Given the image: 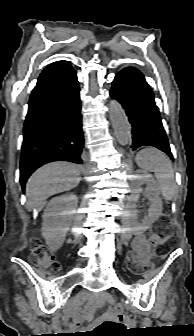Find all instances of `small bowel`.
<instances>
[{
    "instance_id": "small-bowel-1",
    "label": "small bowel",
    "mask_w": 194,
    "mask_h": 336,
    "mask_svg": "<svg viewBox=\"0 0 194 336\" xmlns=\"http://www.w3.org/2000/svg\"><path fill=\"white\" fill-rule=\"evenodd\" d=\"M135 246L140 252V261L142 263H146L147 259L149 258V250H148V246L146 243V239L143 235H139L136 238ZM98 300H100V302H107V301H110V298L109 296L106 295V296H101ZM68 322L75 327H80L82 325L83 318L82 316L74 314L68 317Z\"/></svg>"
}]
</instances>
